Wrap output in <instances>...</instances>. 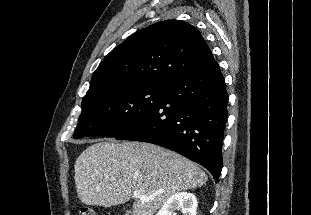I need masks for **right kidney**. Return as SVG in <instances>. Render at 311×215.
<instances>
[{
    "label": "right kidney",
    "mask_w": 311,
    "mask_h": 215,
    "mask_svg": "<svg viewBox=\"0 0 311 215\" xmlns=\"http://www.w3.org/2000/svg\"><path fill=\"white\" fill-rule=\"evenodd\" d=\"M197 198L188 192H178L169 197L156 215H176V210H181L183 215H196Z\"/></svg>",
    "instance_id": "obj_1"
}]
</instances>
